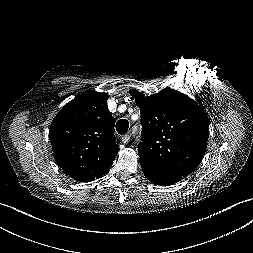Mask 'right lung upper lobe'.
<instances>
[{
	"mask_svg": "<svg viewBox=\"0 0 253 253\" xmlns=\"http://www.w3.org/2000/svg\"><path fill=\"white\" fill-rule=\"evenodd\" d=\"M108 98L104 92L83 93L67 103L50 125L55 161L79 182L103 176L119 151Z\"/></svg>",
	"mask_w": 253,
	"mask_h": 253,
	"instance_id": "1",
	"label": "right lung upper lobe"
}]
</instances>
